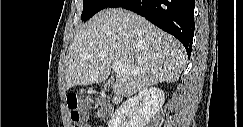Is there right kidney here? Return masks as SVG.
<instances>
[{"mask_svg": "<svg viewBox=\"0 0 243 127\" xmlns=\"http://www.w3.org/2000/svg\"><path fill=\"white\" fill-rule=\"evenodd\" d=\"M164 102L165 95L161 89H144L115 111L108 127H144L161 109Z\"/></svg>", "mask_w": 243, "mask_h": 127, "instance_id": "right-kidney-1", "label": "right kidney"}]
</instances>
